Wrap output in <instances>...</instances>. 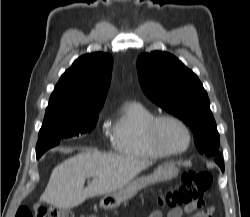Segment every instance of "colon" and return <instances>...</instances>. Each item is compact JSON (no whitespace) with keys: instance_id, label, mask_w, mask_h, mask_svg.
Masks as SVG:
<instances>
[{"instance_id":"obj_1","label":"colon","mask_w":250,"mask_h":217,"mask_svg":"<svg viewBox=\"0 0 250 217\" xmlns=\"http://www.w3.org/2000/svg\"><path fill=\"white\" fill-rule=\"evenodd\" d=\"M212 183V177L206 171H186L181 176V182L178 186L170 189L161 198V204L170 208H179L181 206H196L200 212H207L211 217V208L203 205L202 198ZM15 217H74L58 208H41L37 211H31L27 207H20ZM87 217H95L89 215Z\"/></svg>"}]
</instances>
